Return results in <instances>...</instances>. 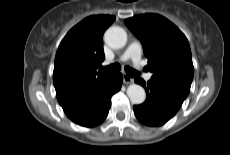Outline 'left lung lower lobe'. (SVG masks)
<instances>
[{
  "mask_svg": "<svg viewBox=\"0 0 230 155\" xmlns=\"http://www.w3.org/2000/svg\"><path fill=\"white\" fill-rule=\"evenodd\" d=\"M136 83L146 88L147 98L141 105L133 107L137 119L147 126H160L171 119L180 109L184 99L162 86L149 80L147 83L140 78Z\"/></svg>",
  "mask_w": 230,
  "mask_h": 155,
  "instance_id": "0a47b994",
  "label": "left lung lower lobe"
}]
</instances>
